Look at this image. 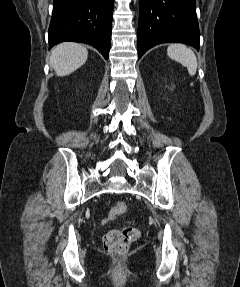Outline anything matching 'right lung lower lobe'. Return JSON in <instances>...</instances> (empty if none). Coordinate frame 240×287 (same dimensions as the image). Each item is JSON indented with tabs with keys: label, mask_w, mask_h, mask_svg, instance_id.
I'll list each match as a JSON object with an SVG mask.
<instances>
[{
	"label": "right lung lower lobe",
	"mask_w": 240,
	"mask_h": 287,
	"mask_svg": "<svg viewBox=\"0 0 240 287\" xmlns=\"http://www.w3.org/2000/svg\"><path fill=\"white\" fill-rule=\"evenodd\" d=\"M114 0H54L49 47L63 41L88 43L109 58Z\"/></svg>",
	"instance_id": "98d812e1"
}]
</instances>
